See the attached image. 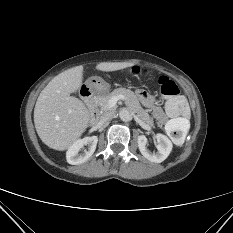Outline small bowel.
Returning <instances> with one entry per match:
<instances>
[{"instance_id": "c3829d8e", "label": "small bowel", "mask_w": 233, "mask_h": 233, "mask_svg": "<svg viewBox=\"0 0 233 233\" xmlns=\"http://www.w3.org/2000/svg\"><path fill=\"white\" fill-rule=\"evenodd\" d=\"M138 96H139L140 100L144 104H146L148 106H153V104H154L153 99H152V97L147 92H145L144 90H139L138 91ZM153 113H154V116L160 122H164L165 121V115L163 113V110L160 107H155Z\"/></svg>"}]
</instances>
